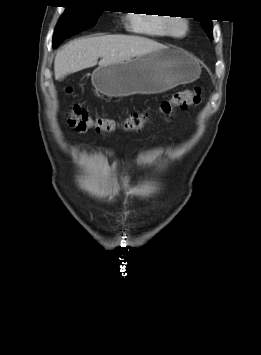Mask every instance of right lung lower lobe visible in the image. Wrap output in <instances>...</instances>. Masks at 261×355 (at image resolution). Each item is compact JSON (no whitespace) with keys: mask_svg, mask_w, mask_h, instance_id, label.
Instances as JSON below:
<instances>
[{"mask_svg":"<svg viewBox=\"0 0 261 355\" xmlns=\"http://www.w3.org/2000/svg\"><path fill=\"white\" fill-rule=\"evenodd\" d=\"M63 40H58L56 42H53V48H56L59 46V44L62 42Z\"/></svg>","mask_w":261,"mask_h":355,"instance_id":"right-lung-lower-lobe-1","label":"right lung lower lobe"}]
</instances>
